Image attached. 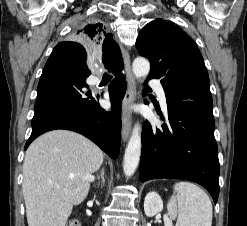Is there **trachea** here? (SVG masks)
Wrapping results in <instances>:
<instances>
[{"label":"trachea","mask_w":247,"mask_h":226,"mask_svg":"<svg viewBox=\"0 0 247 226\" xmlns=\"http://www.w3.org/2000/svg\"><path fill=\"white\" fill-rule=\"evenodd\" d=\"M104 77L109 78V77H111V76L105 73V74H104Z\"/></svg>","instance_id":"1"}]
</instances>
